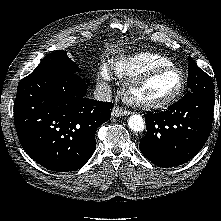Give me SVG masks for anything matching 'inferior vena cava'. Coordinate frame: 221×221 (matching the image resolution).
Segmentation results:
<instances>
[{
  "instance_id": "1",
  "label": "inferior vena cava",
  "mask_w": 221,
  "mask_h": 221,
  "mask_svg": "<svg viewBox=\"0 0 221 221\" xmlns=\"http://www.w3.org/2000/svg\"><path fill=\"white\" fill-rule=\"evenodd\" d=\"M112 97V91L109 84L102 82L99 83L94 91V98L97 101H110Z\"/></svg>"
}]
</instances>
